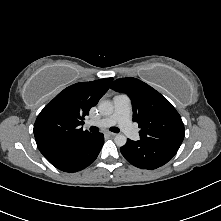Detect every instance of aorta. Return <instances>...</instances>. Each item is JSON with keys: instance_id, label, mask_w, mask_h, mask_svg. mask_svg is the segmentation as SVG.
Here are the masks:
<instances>
[{"instance_id": "1", "label": "aorta", "mask_w": 221, "mask_h": 221, "mask_svg": "<svg viewBox=\"0 0 221 221\" xmlns=\"http://www.w3.org/2000/svg\"><path fill=\"white\" fill-rule=\"evenodd\" d=\"M98 108H99L100 113L103 115H111L114 110V106H113L112 102H110V101H101L99 103ZM114 141L117 146L121 147L126 144L127 138L123 134H117L114 138Z\"/></svg>"}]
</instances>
